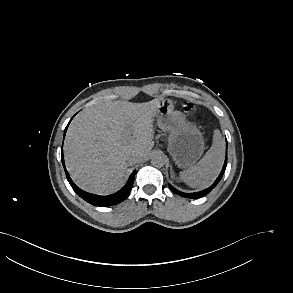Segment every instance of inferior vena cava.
I'll use <instances>...</instances> for the list:
<instances>
[{"label": "inferior vena cava", "instance_id": "1", "mask_svg": "<svg viewBox=\"0 0 293 293\" xmlns=\"http://www.w3.org/2000/svg\"><path fill=\"white\" fill-rule=\"evenodd\" d=\"M141 160V156L139 154H132L128 158V163L130 166L137 164Z\"/></svg>", "mask_w": 293, "mask_h": 293}]
</instances>
